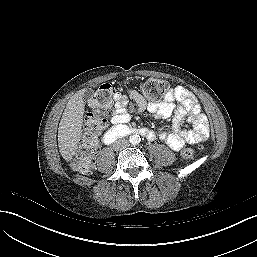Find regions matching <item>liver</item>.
I'll return each instance as SVG.
<instances>
[{"label":"liver","instance_id":"6515ba94","mask_svg":"<svg viewBox=\"0 0 257 257\" xmlns=\"http://www.w3.org/2000/svg\"><path fill=\"white\" fill-rule=\"evenodd\" d=\"M86 90L75 93L68 101L58 128L59 152L66 161H70L78 149L82 136L84 99Z\"/></svg>","mask_w":257,"mask_h":257}]
</instances>
